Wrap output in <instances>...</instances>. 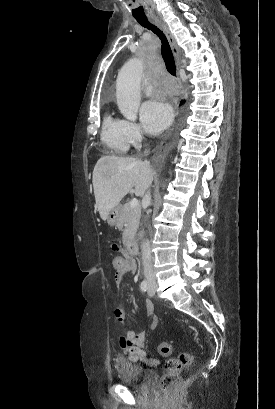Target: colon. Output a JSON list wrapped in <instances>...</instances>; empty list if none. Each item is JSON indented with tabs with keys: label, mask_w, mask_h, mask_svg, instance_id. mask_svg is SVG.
Instances as JSON below:
<instances>
[{
	"label": "colon",
	"mask_w": 275,
	"mask_h": 409,
	"mask_svg": "<svg viewBox=\"0 0 275 409\" xmlns=\"http://www.w3.org/2000/svg\"><path fill=\"white\" fill-rule=\"evenodd\" d=\"M112 248H116V246L112 245ZM112 261L117 272L122 274L125 266L123 258L121 256H114ZM171 349V342L169 340H162L160 342L159 356L161 358H168L170 356ZM193 359L194 355L191 351L182 352L177 356L168 358L165 364V373L160 381L161 387L166 389L174 386L181 376L184 368L192 364Z\"/></svg>",
	"instance_id": "1"
}]
</instances>
